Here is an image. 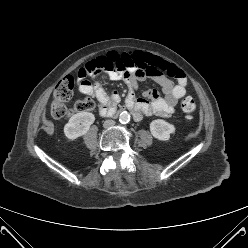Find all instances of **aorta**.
I'll list each match as a JSON object with an SVG mask.
<instances>
[{
	"mask_svg": "<svg viewBox=\"0 0 248 248\" xmlns=\"http://www.w3.org/2000/svg\"><path fill=\"white\" fill-rule=\"evenodd\" d=\"M129 120H130V115L127 112L124 111V112L120 113V115H119V121L122 124L128 123Z\"/></svg>",
	"mask_w": 248,
	"mask_h": 248,
	"instance_id": "obj_1",
	"label": "aorta"
}]
</instances>
